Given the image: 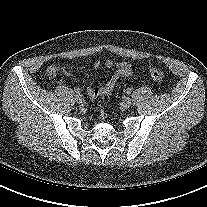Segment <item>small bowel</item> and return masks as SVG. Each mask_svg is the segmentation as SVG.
Listing matches in <instances>:
<instances>
[{"mask_svg":"<svg viewBox=\"0 0 207 207\" xmlns=\"http://www.w3.org/2000/svg\"><path fill=\"white\" fill-rule=\"evenodd\" d=\"M100 65L101 63L99 61L94 62L95 68H98ZM104 66L108 69H114V72L103 85L87 87V94L91 98L109 95L114 90L119 78L129 77L133 72L131 64L127 61L115 62L111 59H108L104 62ZM47 72L50 77H55L58 72H63L65 75L71 76L72 68L52 65L48 68Z\"/></svg>","mask_w":207,"mask_h":207,"instance_id":"1","label":"small bowel"}]
</instances>
